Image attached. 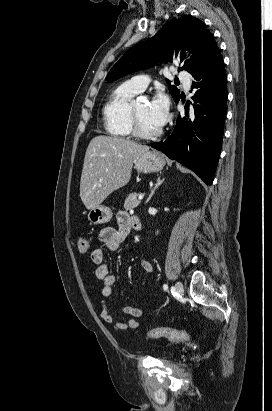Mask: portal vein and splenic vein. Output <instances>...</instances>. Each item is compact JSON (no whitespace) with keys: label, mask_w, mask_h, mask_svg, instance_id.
Masks as SVG:
<instances>
[{"label":"portal vein and splenic vein","mask_w":272,"mask_h":411,"mask_svg":"<svg viewBox=\"0 0 272 411\" xmlns=\"http://www.w3.org/2000/svg\"><path fill=\"white\" fill-rule=\"evenodd\" d=\"M144 198V194H140L139 196H138V199L139 200H142Z\"/></svg>","instance_id":"1"}]
</instances>
